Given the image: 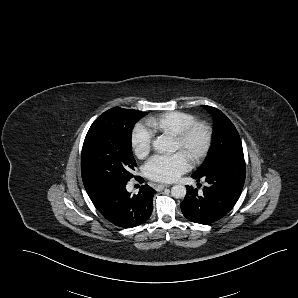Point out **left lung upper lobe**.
Returning <instances> with one entry per match:
<instances>
[{
  "mask_svg": "<svg viewBox=\"0 0 298 298\" xmlns=\"http://www.w3.org/2000/svg\"><path fill=\"white\" fill-rule=\"evenodd\" d=\"M214 120V146L203 164L196 172H204L237 158H244L238 131L228 117L217 108L203 106Z\"/></svg>",
  "mask_w": 298,
  "mask_h": 298,
  "instance_id": "obj_1",
  "label": "left lung upper lobe"
}]
</instances>
